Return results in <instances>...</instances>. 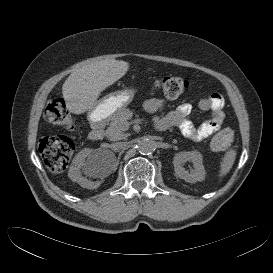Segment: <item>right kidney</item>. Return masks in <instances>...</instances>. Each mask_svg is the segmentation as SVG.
Masks as SVG:
<instances>
[{
	"label": "right kidney",
	"mask_w": 273,
	"mask_h": 273,
	"mask_svg": "<svg viewBox=\"0 0 273 273\" xmlns=\"http://www.w3.org/2000/svg\"><path fill=\"white\" fill-rule=\"evenodd\" d=\"M81 169H84L88 176L104 178L111 174L113 166L105 159L96 160L88 149L82 150L75 156L68 172L69 178L84 188L95 189L99 183L89 182L82 176Z\"/></svg>",
	"instance_id": "ca27d5eb"
}]
</instances>
